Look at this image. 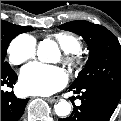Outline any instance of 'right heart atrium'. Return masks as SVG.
I'll return each mask as SVG.
<instances>
[{"label":"right heart atrium","instance_id":"1","mask_svg":"<svg viewBox=\"0 0 121 121\" xmlns=\"http://www.w3.org/2000/svg\"><path fill=\"white\" fill-rule=\"evenodd\" d=\"M36 40L28 35H19L15 37L9 47V60L14 65H21L34 57L36 52Z\"/></svg>","mask_w":121,"mask_h":121}]
</instances>
